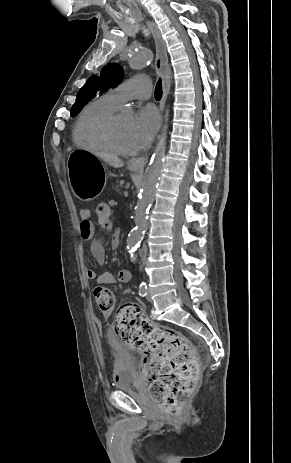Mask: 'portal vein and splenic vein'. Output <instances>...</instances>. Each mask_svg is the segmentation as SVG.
Returning <instances> with one entry per match:
<instances>
[{"instance_id": "portal-vein-and-splenic-vein-1", "label": "portal vein and splenic vein", "mask_w": 291, "mask_h": 463, "mask_svg": "<svg viewBox=\"0 0 291 463\" xmlns=\"http://www.w3.org/2000/svg\"><path fill=\"white\" fill-rule=\"evenodd\" d=\"M124 196H128V191L127 190L124 191Z\"/></svg>"}]
</instances>
